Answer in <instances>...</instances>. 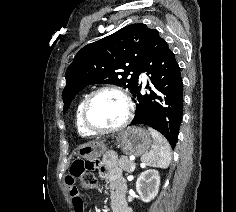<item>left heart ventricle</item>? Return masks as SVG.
I'll return each mask as SVG.
<instances>
[{
    "label": "left heart ventricle",
    "mask_w": 236,
    "mask_h": 212,
    "mask_svg": "<svg viewBox=\"0 0 236 212\" xmlns=\"http://www.w3.org/2000/svg\"><path fill=\"white\" fill-rule=\"evenodd\" d=\"M126 104L115 92L105 91L92 100L88 118L90 123L97 128H113L118 126L125 118Z\"/></svg>",
    "instance_id": "b2bd125f"
}]
</instances>
